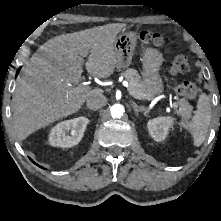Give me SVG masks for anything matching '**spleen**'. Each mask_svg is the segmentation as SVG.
<instances>
[{"label":"spleen","mask_w":221,"mask_h":221,"mask_svg":"<svg viewBox=\"0 0 221 221\" xmlns=\"http://www.w3.org/2000/svg\"><path fill=\"white\" fill-rule=\"evenodd\" d=\"M210 103L207 96L201 93L197 101V110L190 121L183 119L179 125L187 129L193 136L195 146H200L206 137L211 121Z\"/></svg>","instance_id":"obj_1"}]
</instances>
